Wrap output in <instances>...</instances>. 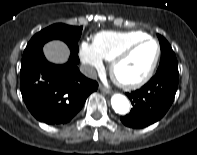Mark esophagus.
<instances>
[{
    "instance_id": "esophagus-1",
    "label": "esophagus",
    "mask_w": 197,
    "mask_h": 155,
    "mask_svg": "<svg viewBox=\"0 0 197 155\" xmlns=\"http://www.w3.org/2000/svg\"><path fill=\"white\" fill-rule=\"evenodd\" d=\"M99 89L103 92V93H106V94H109L111 93V91L106 88L105 86H103L102 84L99 85Z\"/></svg>"
}]
</instances>
